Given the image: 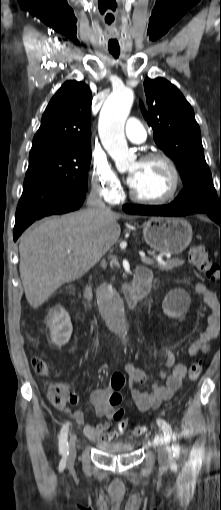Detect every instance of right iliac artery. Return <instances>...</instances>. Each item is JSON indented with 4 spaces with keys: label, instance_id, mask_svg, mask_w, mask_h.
<instances>
[{
    "label": "right iliac artery",
    "instance_id": "1",
    "mask_svg": "<svg viewBox=\"0 0 221 510\" xmlns=\"http://www.w3.org/2000/svg\"><path fill=\"white\" fill-rule=\"evenodd\" d=\"M70 423L67 422L63 425L59 435V452L63 456L68 455V431Z\"/></svg>",
    "mask_w": 221,
    "mask_h": 510
}]
</instances>
